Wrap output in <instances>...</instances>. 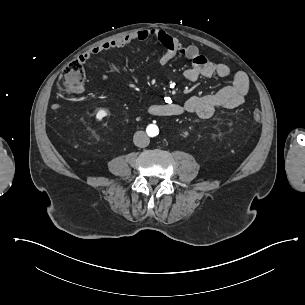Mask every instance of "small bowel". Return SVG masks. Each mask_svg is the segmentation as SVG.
<instances>
[{"label":"small bowel","instance_id":"obj_1","mask_svg":"<svg viewBox=\"0 0 305 305\" xmlns=\"http://www.w3.org/2000/svg\"><path fill=\"white\" fill-rule=\"evenodd\" d=\"M156 39L164 48V53L159 57V64L165 65L174 58L180 56L191 61V66L185 70L184 77L187 81L195 82L199 78L218 76L227 78L231 75L230 68L223 63H215L204 56L195 45H183L178 39L159 29L141 30L130 33L92 47L78 57L80 63L88 62L92 57L103 52L123 48L136 41ZM107 80L106 76L101 77ZM78 92L82 91L80 87ZM249 91V79L243 72H237L233 76L232 85L206 94L192 96L182 102L168 97L163 102L153 103L149 106V112L155 115L179 116L192 113L200 118L211 117L218 108L234 109L243 105Z\"/></svg>","mask_w":305,"mask_h":305}]
</instances>
